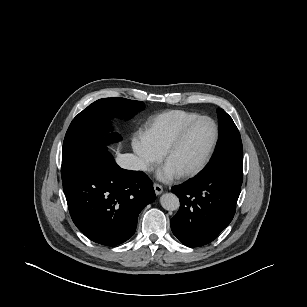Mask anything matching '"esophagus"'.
<instances>
[{"instance_id":"obj_1","label":"esophagus","mask_w":307,"mask_h":307,"mask_svg":"<svg viewBox=\"0 0 307 307\" xmlns=\"http://www.w3.org/2000/svg\"><path fill=\"white\" fill-rule=\"evenodd\" d=\"M156 195H160L163 192V188L161 185L155 183L153 185Z\"/></svg>"}]
</instances>
